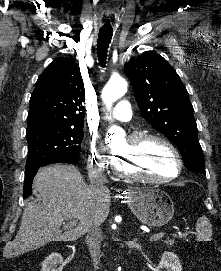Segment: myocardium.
<instances>
[{
  "mask_svg": "<svg viewBox=\"0 0 221 271\" xmlns=\"http://www.w3.org/2000/svg\"><path fill=\"white\" fill-rule=\"evenodd\" d=\"M171 138L160 134L155 131H146L143 133H134V137H129V145H144V142H156V145H161L168 150V155H171V164L173 165V170H176L173 174L165 177H154L149 175H141V173H128L126 170H121V163H117L119 160L117 158H110L109 171H115V175L119 176L120 179H130V178H147V183L152 184H164L168 183V178H179L184 170H182V165H179L178 150H174V145L170 142ZM137 168V167H136Z\"/></svg>",
  "mask_w": 221,
  "mask_h": 271,
  "instance_id": "obj_1",
  "label": "myocardium"
}]
</instances>
